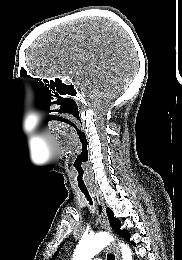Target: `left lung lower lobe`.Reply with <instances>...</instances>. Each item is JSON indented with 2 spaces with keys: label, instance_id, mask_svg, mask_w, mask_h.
Segmentation results:
<instances>
[{
  "label": "left lung lower lobe",
  "instance_id": "obj_1",
  "mask_svg": "<svg viewBox=\"0 0 182 260\" xmlns=\"http://www.w3.org/2000/svg\"><path fill=\"white\" fill-rule=\"evenodd\" d=\"M123 238H125L127 241L130 242V233L128 232V233L125 235V237H123ZM130 243H131L132 245H135L134 241H131Z\"/></svg>",
  "mask_w": 182,
  "mask_h": 260
}]
</instances>
